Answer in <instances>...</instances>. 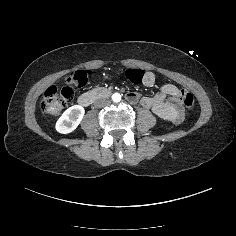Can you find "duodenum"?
Segmentation results:
<instances>
[{"label":"duodenum","mask_w":236,"mask_h":236,"mask_svg":"<svg viewBox=\"0 0 236 236\" xmlns=\"http://www.w3.org/2000/svg\"><path fill=\"white\" fill-rule=\"evenodd\" d=\"M170 93L172 98L169 102H162L161 97ZM110 95V91L104 88L93 89L81 94L78 98V103L82 106H88L94 101L105 98ZM127 98L131 102L138 101V96L134 93H129ZM142 105L145 108L151 109L158 116L170 120L178 121L182 117V108L177 95L171 91H162L158 93L154 98H147L142 101Z\"/></svg>","instance_id":"410a0bca"}]
</instances>
